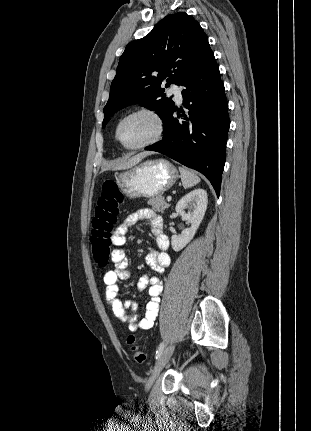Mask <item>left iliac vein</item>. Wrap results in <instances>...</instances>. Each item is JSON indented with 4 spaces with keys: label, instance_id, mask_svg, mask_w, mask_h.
Listing matches in <instances>:
<instances>
[{
    "label": "left iliac vein",
    "instance_id": "obj_1",
    "mask_svg": "<svg viewBox=\"0 0 311 431\" xmlns=\"http://www.w3.org/2000/svg\"><path fill=\"white\" fill-rule=\"evenodd\" d=\"M175 346L173 344H170L165 348V350L162 352L161 356L159 357L154 369L152 370L151 376L149 380L146 383V389H149L153 382L155 381L156 377L159 375V373L162 371L166 363L169 361L171 355L173 354Z\"/></svg>",
    "mask_w": 311,
    "mask_h": 431
}]
</instances>
